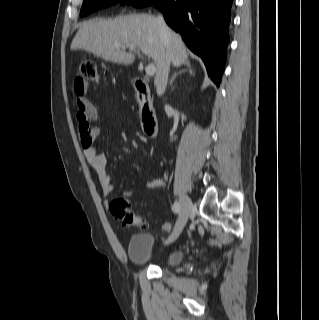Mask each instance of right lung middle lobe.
<instances>
[{"label":"right lung middle lobe","instance_id":"obj_1","mask_svg":"<svg viewBox=\"0 0 319 320\" xmlns=\"http://www.w3.org/2000/svg\"><path fill=\"white\" fill-rule=\"evenodd\" d=\"M118 0H84L80 15L86 16L89 13L97 11L98 9L105 8L109 5L114 4ZM121 3H124L123 0H119ZM153 0H125L127 4H131L135 7H145L146 5L150 4Z\"/></svg>","mask_w":319,"mask_h":320}]
</instances>
